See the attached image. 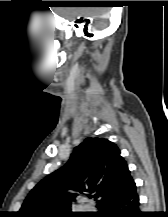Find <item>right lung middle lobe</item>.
Wrapping results in <instances>:
<instances>
[{"mask_svg":"<svg viewBox=\"0 0 168 217\" xmlns=\"http://www.w3.org/2000/svg\"><path fill=\"white\" fill-rule=\"evenodd\" d=\"M53 217H81V216L78 214H75V215H54Z\"/></svg>","mask_w":168,"mask_h":217,"instance_id":"right-lung-middle-lobe-1","label":"right lung middle lobe"}]
</instances>
